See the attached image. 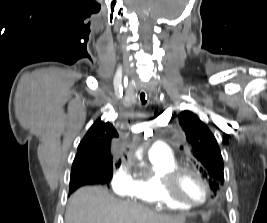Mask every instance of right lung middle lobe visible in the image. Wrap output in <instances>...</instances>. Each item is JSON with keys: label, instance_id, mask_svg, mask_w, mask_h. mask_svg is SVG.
Instances as JSON below:
<instances>
[{"label": "right lung middle lobe", "instance_id": "right-lung-middle-lobe-1", "mask_svg": "<svg viewBox=\"0 0 267 223\" xmlns=\"http://www.w3.org/2000/svg\"><path fill=\"white\" fill-rule=\"evenodd\" d=\"M112 175H113V167L107 168L106 171H105V176L108 177V178H111ZM71 176H73V175L71 174Z\"/></svg>", "mask_w": 267, "mask_h": 223}]
</instances>
